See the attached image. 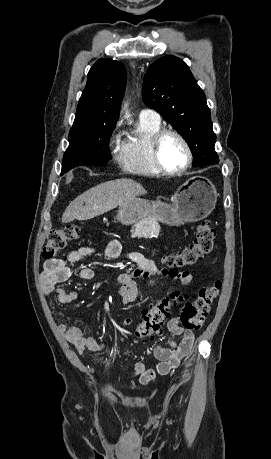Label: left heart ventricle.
I'll list each match as a JSON object with an SVG mask.
<instances>
[{
  "mask_svg": "<svg viewBox=\"0 0 271 459\" xmlns=\"http://www.w3.org/2000/svg\"><path fill=\"white\" fill-rule=\"evenodd\" d=\"M161 157L164 164L172 169L183 167L188 160V152L182 140L175 135H167L161 142Z\"/></svg>",
  "mask_w": 271,
  "mask_h": 459,
  "instance_id": "obj_1",
  "label": "left heart ventricle"
}]
</instances>
